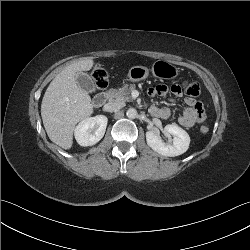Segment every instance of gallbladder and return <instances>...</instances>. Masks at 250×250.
<instances>
[{
	"instance_id": "bac80fb5",
	"label": "gallbladder",
	"mask_w": 250,
	"mask_h": 250,
	"mask_svg": "<svg viewBox=\"0 0 250 250\" xmlns=\"http://www.w3.org/2000/svg\"><path fill=\"white\" fill-rule=\"evenodd\" d=\"M76 81L78 86H80L84 91L88 93L95 91V84L88 74L83 72L79 73Z\"/></svg>"
}]
</instances>
